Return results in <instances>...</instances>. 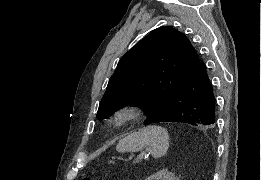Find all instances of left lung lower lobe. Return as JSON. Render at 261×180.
<instances>
[{"mask_svg":"<svg viewBox=\"0 0 261 180\" xmlns=\"http://www.w3.org/2000/svg\"><path fill=\"white\" fill-rule=\"evenodd\" d=\"M216 99L204 62L198 58L171 96L167 109L153 122H184L213 127Z\"/></svg>","mask_w":261,"mask_h":180,"instance_id":"0a47b994","label":"left lung lower lobe"}]
</instances>
